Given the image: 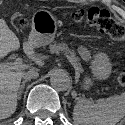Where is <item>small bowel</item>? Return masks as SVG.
Instances as JSON below:
<instances>
[{
	"label": "small bowel",
	"mask_w": 125,
	"mask_h": 125,
	"mask_svg": "<svg viewBox=\"0 0 125 125\" xmlns=\"http://www.w3.org/2000/svg\"><path fill=\"white\" fill-rule=\"evenodd\" d=\"M80 53L84 56H86L88 54L87 50L85 48H81L80 49Z\"/></svg>",
	"instance_id": "c3829d8e"
}]
</instances>
